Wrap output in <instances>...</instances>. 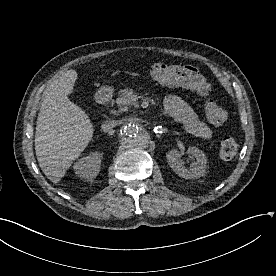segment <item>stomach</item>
<instances>
[{
  "label": "stomach",
  "instance_id": "obj_1",
  "mask_svg": "<svg viewBox=\"0 0 276 276\" xmlns=\"http://www.w3.org/2000/svg\"><path fill=\"white\" fill-rule=\"evenodd\" d=\"M112 90H113V88L112 87H102L99 91H98V94H100V95H103V94H109V93H111L112 92Z\"/></svg>",
  "mask_w": 276,
  "mask_h": 276
}]
</instances>
